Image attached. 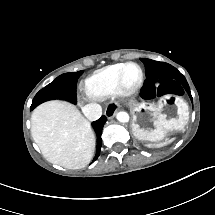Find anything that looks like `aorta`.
<instances>
[{"instance_id":"1","label":"aorta","mask_w":215,"mask_h":215,"mask_svg":"<svg viewBox=\"0 0 215 215\" xmlns=\"http://www.w3.org/2000/svg\"><path fill=\"white\" fill-rule=\"evenodd\" d=\"M116 118L119 122L126 123L129 121V114L127 112L121 111L116 114Z\"/></svg>"}]
</instances>
